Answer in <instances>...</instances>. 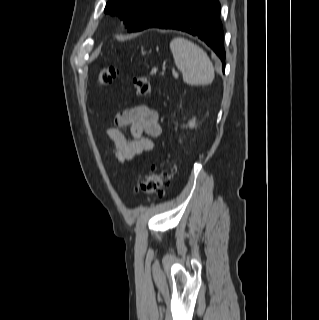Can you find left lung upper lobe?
I'll use <instances>...</instances> for the list:
<instances>
[{
	"label": "left lung upper lobe",
	"instance_id": "5c2ea615",
	"mask_svg": "<svg viewBox=\"0 0 319 320\" xmlns=\"http://www.w3.org/2000/svg\"><path fill=\"white\" fill-rule=\"evenodd\" d=\"M157 0H108L104 12L112 16L117 15L129 28L134 21L146 10L151 8Z\"/></svg>",
	"mask_w": 319,
	"mask_h": 320
}]
</instances>
